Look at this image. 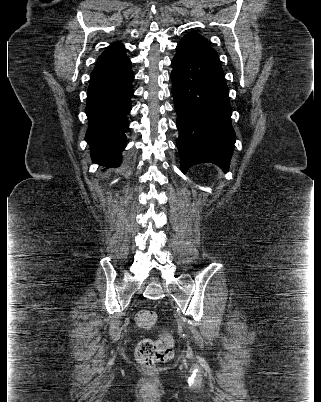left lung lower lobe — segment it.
<instances>
[{
  "label": "left lung lower lobe",
  "mask_w": 321,
  "mask_h": 402,
  "mask_svg": "<svg viewBox=\"0 0 321 402\" xmlns=\"http://www.w3.org/2000/svg\"><path fill=\"white\" fill-rule=\"evenodd\" d=\"M172 65L182 171L198 163H213L228 171L235 132L217 52L199 41H180Z\"/></svg>",
  "instance_id": "1"
}]
</instances>
